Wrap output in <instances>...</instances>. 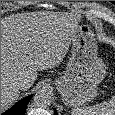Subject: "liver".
<instances>
[{
	"label": "liver",
	"instance_id": "1",
	"mask_svg": "<svg viewBox=\"0 0 115 115\" xmlns=\"http://www.w3.org/2000/svg\"><path fill=\"white\" fill-rule=\"evenodd\" d=\"M74 21L56 14H16L1 19V112L19 97L14 83L22 79L27 90L37 71L59 65L76 33Z\"/></svg>",
	"mask_w": 115,
	"mask_h": 115
}]
</instances>
